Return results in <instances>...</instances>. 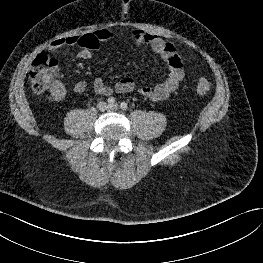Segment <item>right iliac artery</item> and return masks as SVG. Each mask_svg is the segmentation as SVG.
<instances>
[{
  "mask_svg": "<svg viewBox=\"0 0 263 263\" xmlns=\"http://www.w3.org/2000/svg\"><path fill=\"white\" fill-rule=\"evenodd\" d=\"M108 103H109L110 105H113V104L115 103V98H114V97H109V98H108Z\"/></svg>",
  "mask_w": 263,
  "mask_h": 263,
  "instance_id": "82829eb1",
  "label": "right iliac artery"
}]
</instances>
